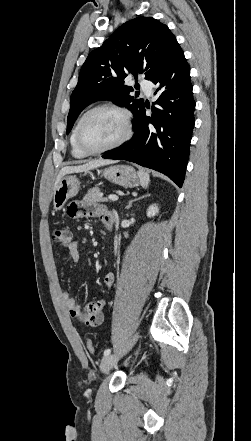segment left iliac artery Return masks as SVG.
<instances>
[{"label":"left iliac artery","instance_id":"1","mask_svg":"<svg viewBox=\"0 0 251 441\" xmlns=\"http://www.w3.org/2000/svg\"><path fill=\"white\" fill-rule=\"evenodd\" d=\"M111 353V349H106L105 351H104V356H107V355H109Z\"/></svg>","mask_w":251,"mask_h":441}]
</instances>
